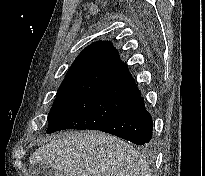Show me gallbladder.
Segmentation results:
<instances>
[{
  "label": "gallbladder",
  "mask_w": 205,
  "mask_h": 176,
  "mask_svg": "<svg viewBox=\"0 0 205 176\" xmlns=\"http://www.w3.org/2000/svg\"><path fill=\"white\" fill-rule=\"evenodd\" d=\"M30 176H54V169L45 163L33 164L29 169Z\"/></svg>",
  "instance_id": "1"
}]
</instances>
